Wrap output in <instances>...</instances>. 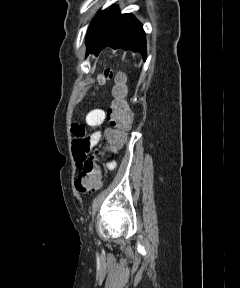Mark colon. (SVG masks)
Returning <instances> with one entry per match:
<instances>
[{
  "label": "colon",
  "mask_w": 240,
  "mask_h": 288,
  "mask_svg": "<svg viewBox=\"0 0 240 288\" xmlns=\"http://www.w3.org/2000/svg\"><path fill=\"white\" fill-rule=\"evenodd\" d=\"M106 77H112V73L106 72ZM117 85L114 88V100L107 112L110 125L106 133L111 142V147L118 146L123 140V131L128 129L132 123V113L125 101L124 77L116 75ZM76 189L82 194L95 192L100 187V171L93 156L86 159L82 164L81 172L75 182Z\"/></svg>",
  "instance_id": "obj_1"
}]
</instances>
